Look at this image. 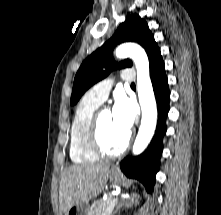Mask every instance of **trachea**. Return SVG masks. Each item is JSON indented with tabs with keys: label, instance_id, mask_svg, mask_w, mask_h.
Listing matches in <instances>:
<instances>
[{
	"label": "trachea",
	"instance_id": "3493384b",
	"mask_svg": "<svg viewBox=\"0 0 221 215\" xmlns=\"http://www.w3.org/2000/svg\"><path fill=\"white\" fill-rule=\"evenodd\" d=\"M131 86H135V84H134V83H132V84H131Z\"/></svg>",
	"mask_w": 221,
	"mask_h": 215
}]
</instances>
